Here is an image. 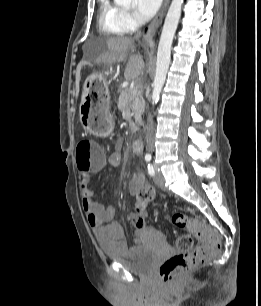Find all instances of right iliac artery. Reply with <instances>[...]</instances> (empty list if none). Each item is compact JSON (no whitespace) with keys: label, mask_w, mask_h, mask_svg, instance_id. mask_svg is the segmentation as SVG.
Segmentation results:
<instances>
[{"label":"right iliac artery","mask_w":261,"mask_h":306,"mask_svg":"<svg viewBox=\"0 0 261 306\" xmlns=\"http://www.w3.org/2000/svg\"><path fill=\"white\" fill-rule=\"evenodd\" d=\"M145 160H146L147 162H149V161L151 160V156H150V155H146V156H145Z\"/></svg>","instance_id":"obj_1"}]
</instances>
